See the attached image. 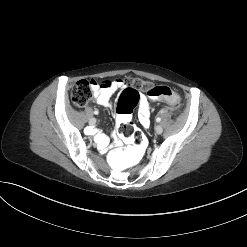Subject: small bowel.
<instances>
[{"label":"small bowel","mask_w":247,"mask_h":247,"mask_svg":"<svg viewBox=\"0 0 247 247\" xmlns=\"http://www.w3.org/2000/svg\"><path fill=\"white\" fill-rule=\"evenodd\" d=\"M126 87V82L121 79L114 81H106L102 84L94 82L93 85V97L95 101L103 106L110 107L112 105L111 98L115 92ZM139 123L147 128L150 125V106L147 97L144 94L139 95V111H138ZM95 139L101 151H106L109 140L100 132H96ZM115 143L118 145L119 141Z\"/></svg>","instance_id":"small-bowel-1"}]
</instances>
